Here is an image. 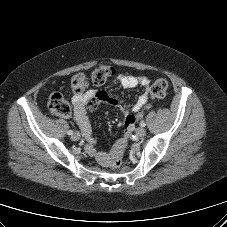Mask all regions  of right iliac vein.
I'll return each mask as SVG.
<instances>
[{
  "label": "right iliac vein",
  "mask_w": 227,
  "mask_h": 227,
  "mask_svg": "<svg viewBox=\"0 0 227 227\" xmlns=\"http://www.w3.org/2000/svg\"><path fill=\"white\" fill-rule=\"evenodd\" d=\"M80 137H81L80 133L79 132H75L74 134H72L71 139L73 141H78L80 139Z\"/></svg>",
  "instance_id": "63e3f726"
}]
</instances>
